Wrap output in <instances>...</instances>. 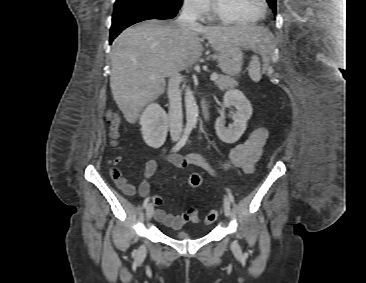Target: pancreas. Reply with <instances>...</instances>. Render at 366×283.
Segmentation results:
<instances>
[{"label": "pancreas", "instance_id": "pancreas-1", "mask_svg": "<svg viewBox=\"0 0 366 283\" xmlns=\"http://www.w3.org/2000/svg\"><path fill=\"white\" fill-rule=\"evenodd\" d=\"M216 85L220 90L233 89L238 85V82L229 76H220L216 81Z\"/></svg>", "mask_w": 366, "mask_h": 283}]
</instances>
